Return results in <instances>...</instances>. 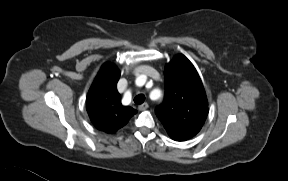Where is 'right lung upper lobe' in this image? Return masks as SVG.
Segmentation results:
<instances>
[{
    "mask_svg": "<svg viewBox=\"0 0 288 181\" xmlns=\"http://www.w3.org/2000/svg\"><path fill=\"white\" fill-rule=\"evenodd\" d=\"M119 69L111 63L105 64L96 76L86 99L88 115L95 127L106 133H115L137 113L130 106L121 104L117 91Z\"/></svg>",
    "mask_w": 288,
    "mask_h": 181,
    "instance_id": "right-lung-upper-lobe-1",
    "label": "right lung upper lobe"
}]
</instances>
